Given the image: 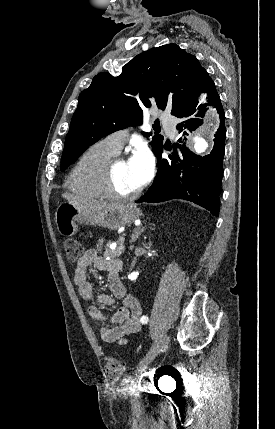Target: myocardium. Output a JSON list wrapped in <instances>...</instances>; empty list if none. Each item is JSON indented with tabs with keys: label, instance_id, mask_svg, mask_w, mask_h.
Returning a JSON list of instances; mask_svg holds the SVG:
<instances>
[{
	"label": "myocardium",
	"instance_id": "myocardium-1",
	"mask_svg": "<svg viewBox=\"0 0 275 429\" xmlns=\"http://www.w3.org/2000/svg\"><path fill=\"white\" fill-rule=\"evenodd\" d=\"M121 161H125L124 157L115 156V157H112L107 162L104 170V181H103L104 192L106 196L111 199L123 200V201L132 200L137 198L140 195L142 188H138L135 192L130 194H122L118 192L114 183V167L116 163Z\"/></svg>",
	"mask_w": 275,
	"mask_h": 429
}]
</instances>
